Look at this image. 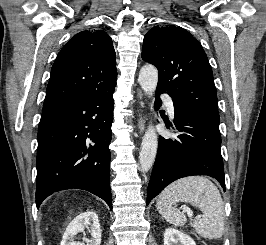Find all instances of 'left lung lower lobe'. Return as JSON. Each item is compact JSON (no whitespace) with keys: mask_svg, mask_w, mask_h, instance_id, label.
I'll return each mask as SVG.
<instances>
[{"mask_svg":"<svg viewBox=\"0 0 266 245\" xmlns=\"http://www.w3.org/2000/svg\"><path fill=\"white\" fill-rule=\"evenodd\" d=\"M161 93L166 91L157 88L155 108L161 106L158 97ZM174 112V124L182 134L175 140L159 137L158 152L147 190V205L168 184L186 176H211L220 182L225 191L219 120L176 103Z\"/></svg>","mask_w":266,"mask_h":245,"instance_id":"0a47b994","label":"left lung lower lobe"}]
</instances>
